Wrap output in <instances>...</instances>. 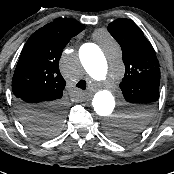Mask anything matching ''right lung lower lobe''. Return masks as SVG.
Returning <instances> with one entry per match:
<instances>
[{
    "instance_id": "98d812e1",
    "label": "right lung lower lobe",
    "mask_w": 174,
    "mask_h": 174,
    "mask_svg": "<svg viewBox=\"0 0 174 174\" xmlns=\"http://www.w3.org/2000/svg\"><path fill=\"white\" fill-rule=\"evenodd\" d=\"M15 102H16V109L22 120H23L22 118L23 114L38 113L50 106H56L59 109V111L62 110V106L58 101L51 103L45 101L35 102L30 99L20 98V99H15Z\"/></svg>"
}]
</instances>
